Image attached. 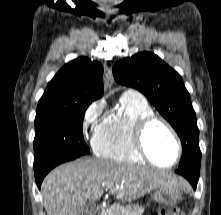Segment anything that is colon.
<instances>
[{"mask_svg":"<svg viewBox=\"0 0 221 215\" xmlns=\"http://www.w3.org/2000/svg\"><path fill=\"white\" fill-rule=\"evenodd\" d=\"M159 215H184V214L180 208L171 207L160 210Z\"/></svg>","mask_w":221,"mask_h":215,"instance_id":"colon-1","label":"colon"}]
</instances>
